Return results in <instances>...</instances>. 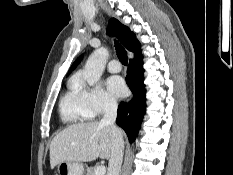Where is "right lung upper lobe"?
I'll use <instances>...</instances> for the list:
<instances>
[{
  "label": "right lung upper lobe",
  "mask_w": 233,
  "mask_h": 175,
  "mask_svg": "<svg viewBox=\"0 0 233 175\" xmlns=\"http://www.w3.org/2000/svg\"><path fill=\"white\" fill-rule=\"evenodd\" d=\"M108 32L115 34L123 45L129 51L138 55L141 53L140 51V43L136 40L135 34L125 25L120 23L117 19L111 18L108 25ZM82 60V56H80L71 66L68 74L78 65V63Z\"/></svg>",
  "instance_id": "obj_1"
}]
</instances>
